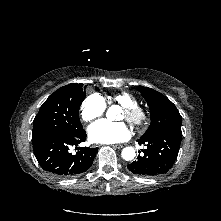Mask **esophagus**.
Returning <instances> with one entry per match:
<instances>
[{
  "mask_svg": "<svg viewBox=\"0 0 221 221\" xmlns=\"http://www.w3.org/2000/svg\"><path fill=\"white\" fill-rule=\"evenodd\" d=\"M125 146H126V144H115V145H112V147L115 148V149H120V148H123Z\"/></svg>",
  "mask_w": 221,
  "mask_h": 221,
  "instance_id": "34e87169",
  "label": "esophagus"
}]
</instances>
